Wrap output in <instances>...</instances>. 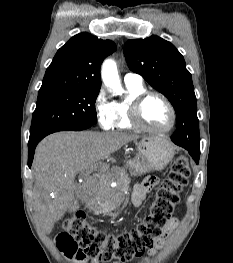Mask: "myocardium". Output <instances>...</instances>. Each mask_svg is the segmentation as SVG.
<instances>
[{"label": "myocardium", "mask_w": 233, "mask_h": 263, "mask_svg": "<svg viewBox=\"0 0 233 263\" xmlns=\"http://www.w3.org/2000/svg\"><path fill=\"white\" fill-rule=\"evenodd\" d=\"M150 97L160 98L166 104L170 112L171 120L168 126H166L165 128H161V129L152 128L145 123L142 117L143 105L145 101ZM129 114H130V121L135 128L152 133L169 132L175 126L177 119L176 111L171 101L164 94L157 91H144L138 96H136L131 103Z\"/></svg>", "instance_id": "1"}]
</instances>
